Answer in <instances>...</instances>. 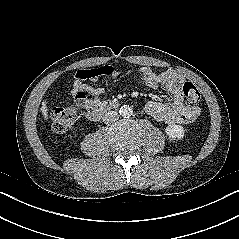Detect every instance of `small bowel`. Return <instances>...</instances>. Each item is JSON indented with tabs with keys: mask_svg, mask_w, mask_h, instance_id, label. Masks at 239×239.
Instances as JSON below:
<instances>
[{
	"mask_svg": "<svg viewBox=\"0 0 239 239\" xmlns=\"http://www.w3.org/2000/svg\"><path fill=\"white\" fill-rule=\"evenodd\" d=\"M100 71L99 74H93ZM121 71L111 66L101 68L81 69L77 71L73 79L72 95L75 103L86 110L100 106L104 101L102 97L106 91L100 87H94L86 81L96 82L101 76L106 75L110 78H117ZM143 83L152 89H158L164 84L172 96L170 103L149 102L145 109L148 115L155 120L165 124L188 125L196 121L200 110L196 106H188L184 102L181 85L184 78L172 72L156 73L151 67L143 66L140 68Z\"/></svg>",
	"mask_w": 239,
	"mask_h": 239,
	"instance_id": "obj_1",
	"label": "small bowel"
}]
</instances>
